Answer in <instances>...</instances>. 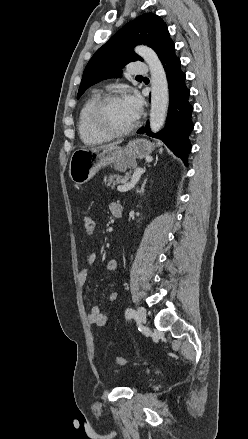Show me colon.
Instances as JSON below:
<instances>
[{"instance_id":"obj_1","label":"colon","mask_w":248,"mask_h":439,"mask_svg":"<svg viewBox=\"0 0 248 439\" xmlns=\"http://www.w3.org/2000/svg\"><path fill=\"white\" fill-rule=\"evenodd\" d=\"M83 228L87 234H91L94 230V221L90 216H85L83 219ZM116 364L123 366L126 363V359L123 357L115 358Z\"/></svg>"}]
</instances>
